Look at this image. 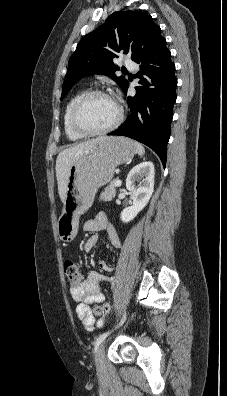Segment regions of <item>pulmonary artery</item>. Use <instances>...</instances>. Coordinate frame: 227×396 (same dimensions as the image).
<instances>
[{"mask_svg":"<svg viewBox=\"0 0 227 396\" xmlns=\"http://www.w3.org/2000/svg\"><path fill=\"white\" fill-rule=\"evenodd\" d=\"M124 65L126 67H128L131 70H135L136 69V63L134 61H132L131 59H126L124 62Z\"/></svg>","mask_w":227,"mask_h":396,"instance_id":"obj_1","label":"pulmonary artery"}]
</instances>
